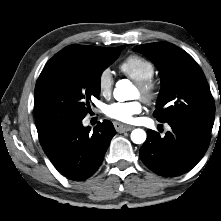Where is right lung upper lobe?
<instances>
[{"label":"right lung upper lobe","mask_w":221,"mask_h":221,"mask_svg":"<svg viewBox=\"0 0 221 221\" xmlns=\"http://www.w3.org/2000/svg\"><path fill=\"white\" fill-rule=\"evenodd\" d=\"M121 47V46H120ZM104 48L97 46H85V45H70L59 51L54 56L59 55H75V56H87V55H109L118 52L121 48Z\"/></svg>","instance_id":"1"}]
</instances>
